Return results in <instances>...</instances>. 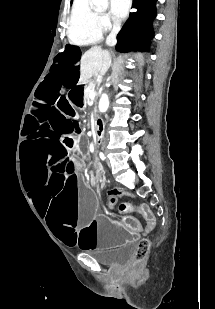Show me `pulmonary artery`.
I'll return each instance as SVG.
<instances>
[{
	"instance_id": "pulmonary-artery-1",
	"label": "pulmonary artery",
	"mask_w": 215,
	"mask_h": 309,
	"mask_svg": "<svg viewBox=\"0 0 215 309\" xmlns=\"http://www.w3.org/2000/svg\"><path fill=\"white\" fill-rule=\"evenodd\" d=\"M89 8V1L88 0H75L74 3V16H87Z\"/></svg>"
}]
</instances>
